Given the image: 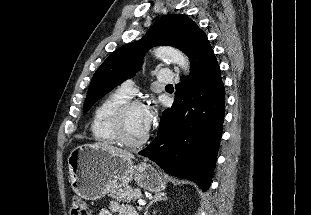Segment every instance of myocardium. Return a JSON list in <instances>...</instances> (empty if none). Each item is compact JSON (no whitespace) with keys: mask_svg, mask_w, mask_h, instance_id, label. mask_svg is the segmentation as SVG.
<instances>
[{"mask_svg":"<svg viewBox=\"0 0 311 215\" xmlns=\"http://www.w3.org/2000/svg\"><path fill=\"white\" fill-rule=\"evenodd\" d=\"M136 107L145 108L140 100H127L122 103L113 113L112 127L118 142L127 147H139L148 140V134H145L139 140H132L126 134L125 118L127 113Z\"/></svg>","mask_w":311,"mask_h":215,"instance_id":"myocardium-1","label":"myocardium"}]
</instances>
